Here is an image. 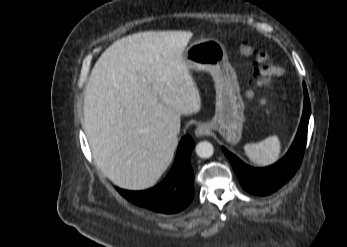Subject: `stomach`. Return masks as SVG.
<instances>
[{"instance_id":"0dacf381","label":"stomach","mask_w":347,"mask_h":247,"mask_svg":"<svg viewBox=\"0 0 347 247\" xmlns=\"http://www.w3.org/2000/svg\"><path fill=\"white\" fill-rule=\"evenodd\" d=\"M183 61L188 69L204 70L211 74L216 99L215 116L209 125L227 142L236 144L242 136L244 103L224 45L214 38H202L186 49Z\"/></svg>"}]
</instances>
